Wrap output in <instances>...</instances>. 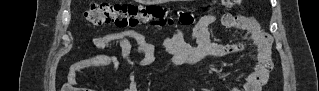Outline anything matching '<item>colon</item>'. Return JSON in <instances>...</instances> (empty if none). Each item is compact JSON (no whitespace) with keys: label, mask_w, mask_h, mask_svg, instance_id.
I'll use <instances>...</instances> for the list:
<instances>
[{"label":"colon","mask_w":319,"mask_h":91,"mask_svg":"<svg viewBox=\"0 0 319 91\" xmlns=\"http://www.w3.org/2000/svg\"><path fill=\"white\" fill-rule=\"evenodd\" d=\"M223 6L233 7L240 0L220 1ZM86 21L93 26L113 24L117 27H136L149 24L154 27H166L174 24L190 26L194 24L195 15L186 9H178L172 12L161 6H137L126 3H95L84 14ZM259 60L266 69L272 67L270 46L267 43L261 52Z\"/></svg>","instance_id":"5ec220e1"}]
</instances>
